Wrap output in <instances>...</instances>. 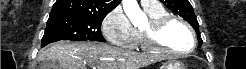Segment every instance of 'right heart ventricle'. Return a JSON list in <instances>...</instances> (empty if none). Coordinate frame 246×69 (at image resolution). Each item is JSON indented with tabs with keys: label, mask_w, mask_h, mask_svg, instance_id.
Listing matches in <instances>:
<instances>
[{
	"label": "right heart ventricle",
	"mask_w": 246,
	"mask_h": 69,
	"mask_svg": "<svg viewBox=\"0 0 246 69\" xmlns=\"http://www.w3.org/2000/svg\"><path fill=\"white\" fill-rule=\"evenodd\" d=\"M144 11L148 16L149 21H153V20L158 19L160 17L169 15L168 11L164 7H162L161 5H159L157 7H144ZM142 30H143V28H139L136 30L134 47H140L144 50L152 51L153 53H161V51L153 49L145 43V41L143 39V35H142Z\"/></svg>",
	"instance_id": "obj_1"
}]
</instances>
